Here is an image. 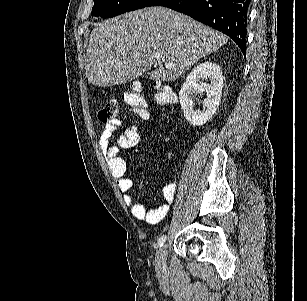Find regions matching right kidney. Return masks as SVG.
<instances>
[{"label":"right kidney","mask_w":307,"mask_h":301,"mask_svg":"<svg viewBox=\"0 0 307 301\" xmlns=\"http://www.w3.org/2000/svg\"><path fill=\"white\" fill-rule=\"evenodd\" d=\"M209 82H203V80ZM224 76L221 66L215 62H200L183 82L179 90V100L185 118L194 126H202L214 116L221 100ZM196 92H206L202 110H194L193 96Z\"/></svg>","instance_id":"right-kidney-1"}]
</instances>
